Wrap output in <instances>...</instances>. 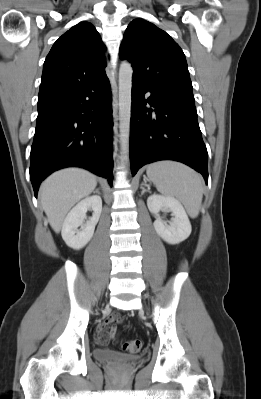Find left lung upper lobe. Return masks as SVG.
I'll return each mask as SVG.
<instances>
[{
  "instance_id": "left-lung-upper-lobe-1",
  "label": "left lung upper lobe",
  "mask_w": 261,
  "mask_h": 399,
  "mask_svg": "<svg viewBox=\"0 0 261 399\" xmlns=\"http://www.w3.org/2000/svg\"><path fill=\"white\" fill-rule=\"evenodd\" d=\"M119 56L132 63L133 79L155 90L193 95L182 49L154 24L133 20L125 31Z\"/></svg>"
}]
</instances>
